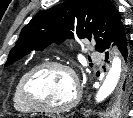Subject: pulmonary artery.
<instances>
[{"instance_id":"pulmonary-artery-1","label":"pulmonary artery","mask_w":133,"mask_h":118,"mask_svg":"<svg viewBox=\"0 0 133 118\" xmlns=\"http://www.w3.org/2000/svg\"><path fill=\"white\" fill-rule=\"evenodd\" d=\"M92 58L94 60H100L101 59V55L99 53H92Z\"/></svg>"}]
</instances>
